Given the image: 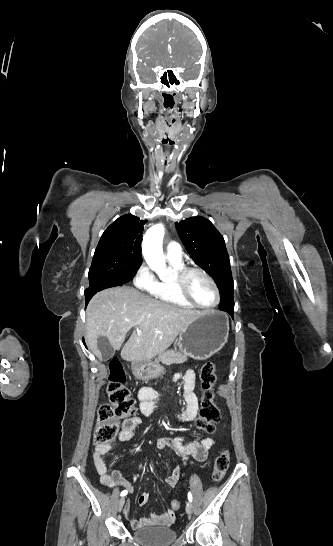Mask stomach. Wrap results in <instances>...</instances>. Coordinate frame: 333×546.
I'll list each match as a JSON object with an SVG mask.
<instances>
[{"instance_id": "stomach-1", "label": "stomach", "mask_w": 333, "mask_h": 546, "mask_svg": "<svg viewBox=\"0 0 333 546\" xmlns=\"http://www.w3.org/2000/svg\"><path fill=\"white\" fill-rule=\"evenodd\" d=\"M229 335L228 317L219 311L203 313L179 333V349L195 360H207L221 350ZM133 375L140 380H151L165 373L159 362H132Z\"/></svg>"}]
</instances>
